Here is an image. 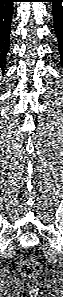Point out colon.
I'll return each instance as SVG.
<instances>
[{
    "mask_svg": "<svg viewBox=\"0 0 63 297\" xmlns=\"http://www.w3.org/2000/svg\"><path fill=\"white\" fill-rule=\"evenodd\" d=\"M34 266H35L34 262H30V263L25 264L24 267L26 270L30 271L31 268H34Z\"/></svg>",
    "mask_w": 63,
    "mask_h": 297,
    "instance_id": "obj_1",
    "label": "colon"
}]
</instances>
